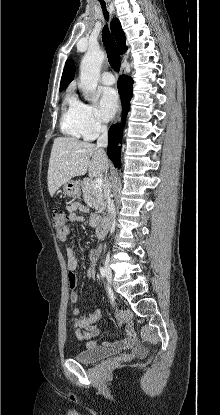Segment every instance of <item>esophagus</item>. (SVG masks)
Returning a JSON list of instances; mask_svg holds the SVG:
<instances>
[{
	"mask_svg": "<svg viewBox=\"0 0 220 415\" xmlns=\"http://www.w3.org/2000/svg\"><path fill=\"white\" fill-rule=\"evenodd\" d=\"M121 73H123V69L121 70ZM120 115H121V106L119 107V110L117 112L114 122H117L120 119Z\"/></svg>",
	"mask_w": 220,
	"mask_h": 415,
	"instance_id": "34e87169",
	"label": "esophagus"
}]
</instances>
